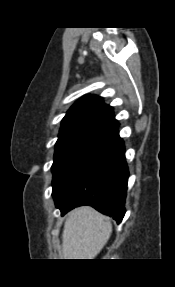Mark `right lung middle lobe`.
I'll return each instance as SVG.
<instances>
[{
	"instance_id": "1",
	"label": "right lung middle lobe",
	"mask_w": 175,
	"mask_h": 287,
	"mask_svg": "<svg viewBox=\"0 0 175 287\" xmlns=\"http://www.w3.org/2000/svg\"><path fill=\"white\" fill-rule=\"evenodd\" d=\"M115 130L116 127L112 126L92 125L60 131L52 165L53 190L70 170Z\"/></svg>"
}]
</instances>
